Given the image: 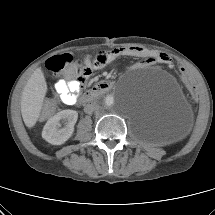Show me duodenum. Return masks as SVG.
Returning a JSON list of instances; mask_svg holds the SVG:
<instances>
[{
    "mask_svg": "<svg viewBox=\"0 0 215 215\" xmlns=\"http://www.w3.org/2000/svg\"><path fill=\"white\" fill-rule=\"evenodd\" d=\"M112 88H113L112 82L109 81L100 82L84 93L80 100V103L88 104L98 96L109 92Z\"/></svg>",
    "mask_w": 215,
    "mask_h": 215,
    "instance_id": "duodenum-1",
    "label": "duodenum"
}]
</instances>
